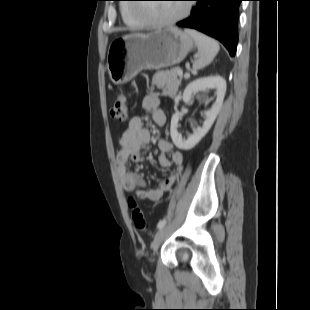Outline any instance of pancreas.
Returning a JSON list of instances; mask_svg holds the SVG:
<instances>
[{
  "instance_id": "pancreas-1",
  "label": "pancreas",
  "mask_w": 310,
  "mask_h": 310,
  "mask_svg": "<svg viewBox=\"0 0 310 310\" xmlns=\"http://www.w3.org/2000/svg\"><path fill=\"white\" fill-rule=\"evenodd\" d=\"M179 68L157 72L152 79V88L156 85L162 89L164 95L174 98L181 84L182 76L177 74Z\"/></svg>"
}]
</instances>
